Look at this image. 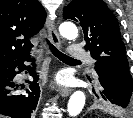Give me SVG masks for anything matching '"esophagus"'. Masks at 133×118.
Masks as SVG:
<instances>
[{"label": "esophagus", "mask_w": 133, "mask_h": 118, "mask_svg": "<svg viewBox=\"0 0 133 118\" xmlns=\"http://www.w3.org/2000/svg\"><path fill=\"white\" fill-rule=\"evenodd\" d=\"M46 26H47L48 35H49L51 42L55 46L61 47V41L57 33L56 27H55V22L52 19L48 18L46 21ZM59 93L62 97H66L71 93V89L67 87H60Z\"/></svg>", "instance_id": "1"}]
</instances>
